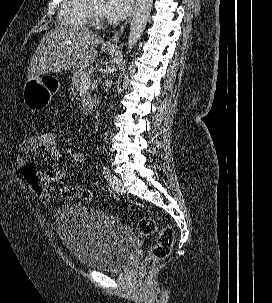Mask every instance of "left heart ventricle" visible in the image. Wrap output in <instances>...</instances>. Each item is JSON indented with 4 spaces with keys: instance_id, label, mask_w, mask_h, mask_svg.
Listing matches in <instances>:
<instances>
[{
    "instance_id": "b2bd125f",
    "label": "left heart ventricle",
    "mask_w": 272,
    "mask_h": 303,
    "mask_svg": "<svg viewBox=\"0 0 272 303\" xmlns=\"http://www.w3.org/2000/svg\"><path fill=\"white\" fill-rule=\"evenodd\" d=\"M93 4L98 10V12L103 16V5H104V0H93Z\"/></svg>"
}]
</instances>
